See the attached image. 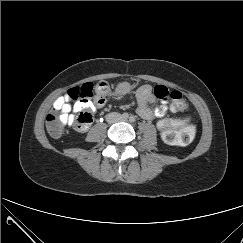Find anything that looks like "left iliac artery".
Masks as SVG:
<instances>
[{"instance_id": "1", "label": "left iliac artery", "mask_w": 243, "mask_h": 243, "mask_svg": "<svg viewBox=\"0 0 243 243\" xmlns=\"http://www.w3.org/2000/svg\"><path fill=\"white\" fill-rule=\"evenodd\" d=\"M129 121L132 123V122H135V117L134 116H130L129 117Z\"/></svg>"}]
</instances>
